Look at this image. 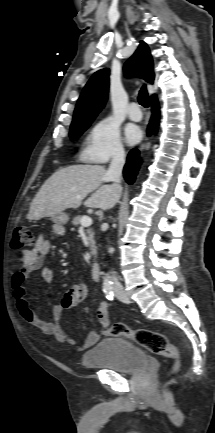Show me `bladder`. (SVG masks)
<instances>
[{
	"label": "bladder",
	"mask_w": 215,
	"mask_h": 433,
	"mask_svg": "<svg viewBox=\"0 0 215 433\" xmlns=\"http://www.w3.org/2000/svg\"><path fill=\"white\" fill-rule=\"evenodd\" d=\"M86 368H107L121 374H133L146 368L147 356L137 345L113 337L101 340L83 356Z\"/></svg>",
	"instance_id": "1"
}]
</instances>
